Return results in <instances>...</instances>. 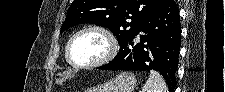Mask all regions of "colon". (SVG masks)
Segmentation results:
<instances>
[{"label": "colon", "mask_w": 225, "mask_h": 92, "mask_svg": "<svg viewBox=\"0 0 225 92\" xmlns=\"http://www.w3.org/2000/svg\"><path fill=\"white\" fill-rule=\"evenodd\" d=\"M67 77H68L67 74L65 73L61 74L57 79L58 84L62 85L66 81Z\"/></svg>", "instance_id": "1"}]
</instances>
